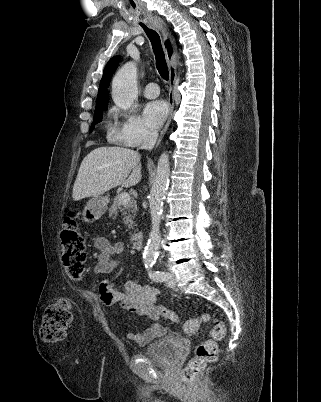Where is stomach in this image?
<instances>
[{"label":"stomach","instance_id":"obj_1","mask_svg":"<svg viewBox=\"0 0 321 402\" xmlns=\"http://www.w3.org/2000/svg\"><path fill=\"white\" fill-rule=\"evenodd\" d=\"M109 199L106 196H94L86 204L81 218L86 223L98 220L106 211Z\"/></svg>","mask_w":321,"mask_h":402}]
</instances>
